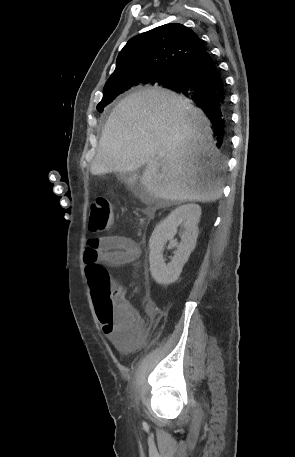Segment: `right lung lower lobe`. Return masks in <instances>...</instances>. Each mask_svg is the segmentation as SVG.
Listing matches in <instances>:
<instances>
[{"label": "right lung lower lobe", "instance_id": "obj_1", "mask_svg": "<svg viewBox=\"0 0 295 457\" xmlns=\"http://www.w3.org/2000/svg\"><path fill=\"white\" fill-rule=\"evenodd\" d=\"M192 99L210 119L218 148L226 144L229 99L218 64L206 50L188 61L166 86Z\"/></svg>", "mask_w": 295, "mask_h": 457}]
</instances>
